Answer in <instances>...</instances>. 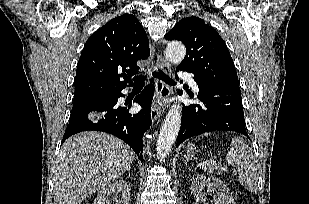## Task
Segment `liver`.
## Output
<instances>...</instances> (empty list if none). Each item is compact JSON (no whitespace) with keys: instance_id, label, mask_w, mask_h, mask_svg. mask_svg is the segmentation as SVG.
I'll use <instances>...</instances> for the list:
<instances>
[{"instance_id":"1","label":"liver","mask_w":309,"mask_h":204,"mask_svg":"<svg viewBox=\"0 0 309 204\" xmlns=\"http://www.w3.org/2000/svg\"><path fill=\"white\" fill-rule=\"evenodd\" d=\"M134 151L107 133L87 131L67 139L54 167V204H81L129 170Z\"/></svg>"}]
</instances>
